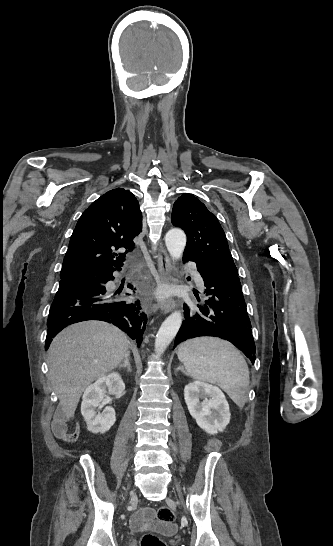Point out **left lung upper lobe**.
Here are the masks:
<instances>
[{
	"instance_id": "obj_1",
	"label": "left lung upper lobe",
	"mask_w": 333,
	"mask_h": 546,
	"mask_svg": "<svg viewBox=\"0 0 333 546\" xmlns=\"http://www.w3.org/2000/svg\"><path fill=\"white\" fill-rule=\"evenodd\" d=\"M172 224L187 235L184 254L192 255L216 274L238 275L218 219L196 197L183 194L175 201Z\"/></svg>"
}]
</instances>
